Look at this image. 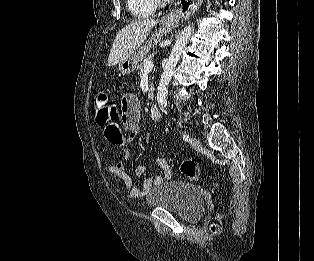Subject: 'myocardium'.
<instances>
[{"mask_svg":"<svg viewBox=\"0 0 314 261\" xmlns=\"http://www.w3.org/2000/svg\"><path fill=\"white\" fill-rule=\"evenodd\" d=\"M156 6L163 7L166 5V2L169 0H153Z\"/></svg>","mask_w":314,"mask_h":261,"instance_id":"obj_1","label":"myocardium"}]
</instances>
